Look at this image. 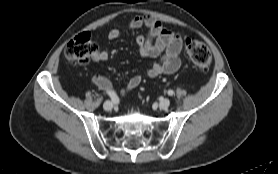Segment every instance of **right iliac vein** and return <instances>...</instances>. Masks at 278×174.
Segmentation results:
<instances>
[{"mask_svg": "<svg viewBox=\"0 0 278 174\" xmlns=\"http://www.w3.org/2000/svg\"><path fill=\"white\" fill-rule=\"evenodd\" d=\"M103 108L106 111H110L113 108V103L111 101H105L103 104Z\"/></svg>", "mask_w": 278, "mask_h": 174, "instance_id": "1", "label": "right iliac vein"}]
</instances>
